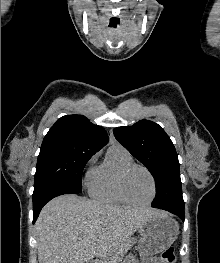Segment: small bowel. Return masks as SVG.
Listing matches in <instances>:
<instances>
[{
    "instance_id": "1",
    "label": "small bowel",
    "mask_w": 220,
    "mask_h": 263,
    "mask_svg": "<svg viewBox=\"0 0 220 263\" xmlns=\"http://www.w3.org/2000/svg\"><path fill=\"white\" fill-rule=\"evenodd\" d=\"M147 263H162V261L154 257V258H151Z\"/></svg>"
}]
</instances>
